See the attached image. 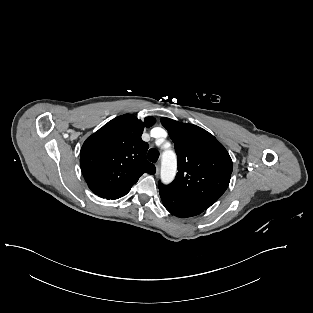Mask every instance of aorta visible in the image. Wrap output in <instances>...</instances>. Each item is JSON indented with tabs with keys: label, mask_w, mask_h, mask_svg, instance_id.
I'll use <instances>...</instances> for the list:
<instances>
[{
	"label": "aorta",
	"mask_w": 313,
	"mask_h": 313,
	"mask_svg": "<svg viewBox=\"0 0 313 313\" xmlns=\"http://www.w3.org/2000/svg\"><path fill=\"white\" fill-rule=\"evenodd\" d=\"M177 171L176 154L172 150L163 152L161 157V180L165 184L173 181Z\"/></svg>",
	"instance_id": "762f6f07"
}]
</instances>
